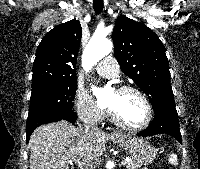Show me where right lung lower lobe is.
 Instances as JSON below:
<instances>
[{
	"label": "right lung lower lobe",
	"instance_id": "right-lung-lower-lobe-1",
	"mask_svg": "<svg viewBox=\"0 0 200 169\" xmlns=\"http://www.w3.org/2000/svg\"><path fill=\"white\" fill-rule=\"evenodd\" d=\"M60 120H67L70 123H75L77 120V115L75 112H71L68 114H39L34 115L27 118V125H26V142L29 141L30 135L33 133V131L40 125L49 123V122H55Z\"/></svg>",
	"mask_w": 200,
	"mask_h": 169
}]
</instances>
